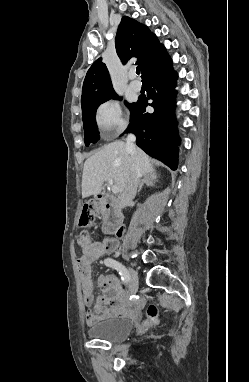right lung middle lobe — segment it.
<instances>
[{
  "label": "right lung middle lobe",
  "instance_id": "right-lung-middle-lobe-1",
  "mask_svg": "<svg viewBox=\"0 0 249 382\" xmlns=\"http://www.w3.org/2000/svg\"><path fill=\"white\" fill-rule=\"evenodd\" d=\"M118 99L117 95L111 96L108 98H103V99H97L92 101L85 109L82 110V119H83V124H84V131H85V144L86 146H89L90 143H95L99 139V132L97 130V124L95 121V115H96V109L97 107L111 99ZM126 106L129 108L130 112L133 109L135 103H127L125 102Z\"/></svg>",
  "mask_w": 249,
  "mask_h": 382
}]
</instances>
